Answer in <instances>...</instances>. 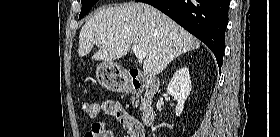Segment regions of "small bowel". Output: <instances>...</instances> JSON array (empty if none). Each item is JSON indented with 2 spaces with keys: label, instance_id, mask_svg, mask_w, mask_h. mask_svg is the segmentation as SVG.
Returning a JSON list of instances; mask_svg holds the SVG:
<instances>
[{
  "label": "small bowel",
  "instance_id": "1",
  "mask_svg": "<svg viewBox=\"0 0 280 137\" xmlns=\"http://www.w3.org/2000/svg\"><path fill=\"white\" fill-rule=\"evenodd\" d=\"M101 116L103 117V120L92 124L91 130L85 134V137H115L113 124L110 120H108L110 116H113L117 122L126 129V137H129L131 134L132 125H136L142 130L139 122L126 111H124L119 103L113 100L106 101L102 104Z\"/></svg>",
  "mask_w": 280,
  "mask_h": 137
}]
</instances>
